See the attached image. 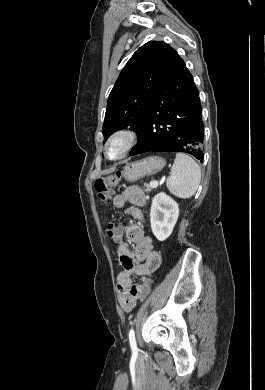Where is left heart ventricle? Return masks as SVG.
Listing matches in <instances>:
<instances>
[{"instance_id": "obj_1", "label": "left heart ventricle", "mask_w": 265, "mask_h": 390, "mask_svg": "<svg viewBox=\"0 0 265 390\" xmlns=\"http://www.w3.org/2000/svg\"><path fill=\"white\" fill-rule=\"evenodd\" d=\"M120 148V144L119 143H115L113 144L112 148H111V154L114 155L118 152Z\"/></svg>"}]
</instances>
